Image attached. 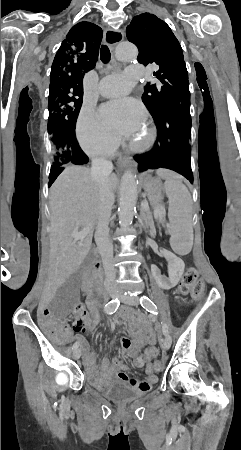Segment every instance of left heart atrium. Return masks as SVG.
<instances>
[{"instance_id": "1", "label": "left heart atrium", "mask_w": 241, "mask_h": 450, "mask_svg": "<svg viewBox=\"0 0 241 450\" xmlns=\"http://www.w3.org/2000/svg\"><path fill=\"white\" fill-rule=\"evenodd\" d=\"M98 116L110 130L127 135L136 129L144 119V110L136 101L122 99L102 105L98 110Z\"/></svg>"}]
</instances>
